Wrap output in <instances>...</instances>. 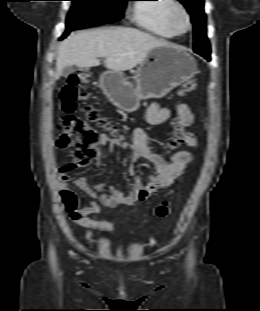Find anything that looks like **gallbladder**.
<instances>
[{"instance_id": "gallbladder-1", "label": "gallbladder", "mask_w": 260, "mask_h": 311, "mask_svg": "<svg viewBox=\"0 0 260 311\" xmlns=\"http://www.w3.org/2000/svg\"><path fill=\"white\" fill-rule=\"evenodd\" d=\"M74 71H75V68L73 66L65 67L62 70L61 75L64 77H67V76L71 75L72 73H74Z\"/></svg>"}]
</instances>
